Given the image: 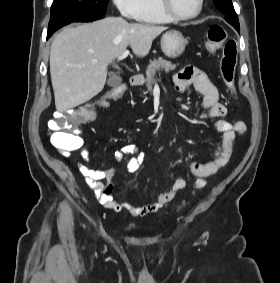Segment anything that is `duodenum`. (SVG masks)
I'll return each mask as SVG.
<instances>
[{"mask_svg": "<svg viewBox=\"0 0 280 283\" xmlns=\"http://www.w3.org/2000/svg\"><path fill=\"white\" fill-rule=\"evenodd\" d=\"M143 84V77L142 75L140 74H134L132 77H131V85L133 87H136V86H139V85H142Z\"/></svg>", "mask_w": 280, "mask_h": 283, "instance_id": "1", "label": "duodenum"}]
</instances>
